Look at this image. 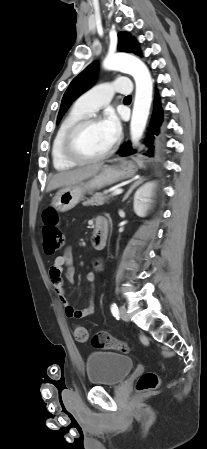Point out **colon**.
<instances>
[{
	"label": "colon",
	"mask_w": 207,
	"mask_h": 449,
	"mask_svg": "<svg viewBox=\"0 0 207 449\" xmlns=\"http://www.w3.org/2000/svg\"><path fill=\"white\" fill-rule=\"evenodd\" d=\"M42 245L46 255H54L64 243V235L59 227V218L56 211L48 208L42 213ZM74 336L79 342L90 341L96 348L116 349L122 352L128 350L127 345L114 338L107 332H98L90 337L88 331L81 325L74 327ZM160 378L157 373L148 371L143 373L138 382L137 389L140 392H148L158 387Z\"/></svg>",
	"instance_id": "5ec220e1"
}]
</instances>
